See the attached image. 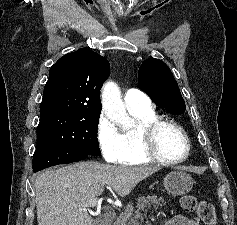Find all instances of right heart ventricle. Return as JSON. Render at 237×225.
Here are the masks:
<instances>
[{
	"instance_id": "e07e8e85",
	"label": "right heart ventricle",
	"mask_w": 237,
	"mask_h": 225,
	"mask_svg": "<svg viewBox=\"0 0 237 225\" xmlns=\"http://www.w3.org/2000/svg\"><path fill=\"white\" fill-rule=\"evenodd\" d=\"M132 115L136 118L138 125L131 130L123 133L127 146L126 155L120 162L125 165H139L152 162L143 152L141 142L139 139V129L154 120L159 119L153 107L147 109L129 108Z\"/></svg>"
}]
</instances>
